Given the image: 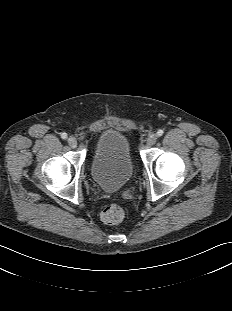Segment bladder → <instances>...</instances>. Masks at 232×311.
<instances>
[{
    "label": "bladder",
    "instance_id": "bladder-1",
    "mask_svg": "<svg viewBox=\"0 0 232 311\" xmlns=\"http://www.w3.org/2000/svg\"><path fill=\"white\" fill-rule=\"evenodd\" d=\"M133 171L127 138L116 130L103 132L95 142L90 161L92 180L102 189L113 191L127 184Z\"/></svg>",
    "mask_w": 232,
    "mask_h": 311
}]
</instances>
